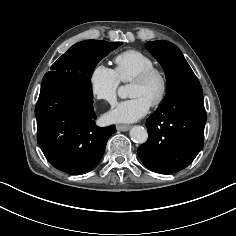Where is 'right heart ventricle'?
I'll return each mask as SVG.
<instances>
[{
	"label": "right heart ventricle",
	"instance_id": "right-heart-ventricle-1",
	"mask_svg": "<svg viewBox=\"0 0 236 236\" xmlns=\"http://www.w3.org/2000/svg\"><path fill=\"white\" fill-rule=\"evenodd\" d=\"M115 71L120 81L131 82L143 70L154 66L153 59L146 53L130 49L117 54L114 57Z\"/></svg>",
	"mask_w": 236,
	"mask_h": 236
}]
</instances>
